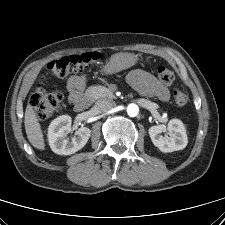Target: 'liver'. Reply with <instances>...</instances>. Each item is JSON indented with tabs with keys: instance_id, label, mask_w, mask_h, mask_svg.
Masks as SVG:
<instances>
[{
	"instance_id": "liver-1",
	"label": "liver",
	"mask_w": 225,
	"mask_h": 225,
	"mask_svg": "<svg viewBox=\"0 0 225 225\" xmlns=\"http://www.w3.org/2000/svg\"><path fill=\"white\" fill-rule=\"evenodd\" d=\"M24 124L27 138L29 142L32 144V146L39 150H44L45 141L43 138L41 126L40 123L38 122L37 115L30 104L27 105L25 110Z\"/></svg>"
}]
</instances>
